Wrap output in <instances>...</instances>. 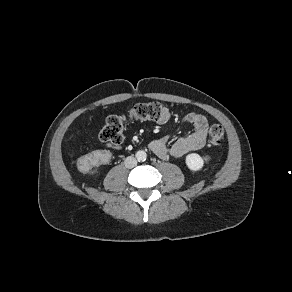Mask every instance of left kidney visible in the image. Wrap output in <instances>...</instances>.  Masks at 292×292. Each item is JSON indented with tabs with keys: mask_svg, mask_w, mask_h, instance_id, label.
<instances>
[{
	"mask_svg": "<svg viewBox=\"0 0 292 292\" xmlns=\"http://www.w3.org/2000/svg\"><path fill=\"white\" fill-rule=\"evenodd\" d=\"M186 165L190 170L198 171L203 167L204 161L199 154L191 153L186 156Z\"/></svg>",
	"mask_w": 292,
	"mask_h": 292,
	"instance_id": "5707ae66",
	"label": "left kidney"
}]
</instances>
